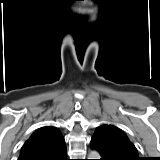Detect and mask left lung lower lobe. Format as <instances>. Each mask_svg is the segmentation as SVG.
<instances>
[{"label":"left lung lower lobe","instance_id":"0a47b994","mask_svg":"<svg viewBox=\"0 0 160 160\" xmlns=\"http://www.w3.org/2000/svg\"><path fill=\"white\" fill-rule=\"evenodd\" d=\"M90 144L91 148L97 150L101 155L100 160H117L108 154V152L103 148L101 142L97 138L92 137Z\"/></svg>","mask_w":160,"mask_h":160}]
</instances>
